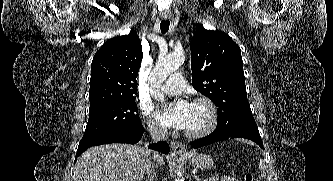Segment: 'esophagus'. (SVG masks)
<instances>
[{
	"label": "esophagus",
	"instance_id": "34e87169",
	"mask_svg": "<svg viewBox=\"0 0 333 181\" xmlns=\"http://www.w3.org/2000/svg\"><path fill=\"white\" fill-rule=\"evenodd\" d=\"M170 146L172 149V152L177 155H185L186 154V148L185 146L177 141H171Z\"/></svg>",
	"mask_w": 333,
	"mask_h": 181
}]
</instances>
